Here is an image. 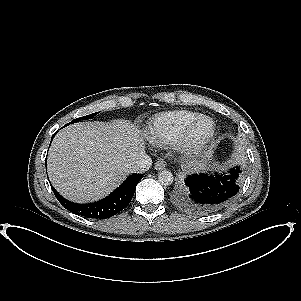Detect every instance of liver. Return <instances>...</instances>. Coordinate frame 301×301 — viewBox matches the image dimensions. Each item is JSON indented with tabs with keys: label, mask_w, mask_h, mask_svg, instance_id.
Here are the masks:
<instances>
[{
	"label": "liver",
	"mask_w": 301,
	"mask_h": 301,
	"mask_svg": "<svg viewBox=\"0 0 301 301\" xmlns=\"http://www.w3.org/2000/svg\"><path fill=\"white\" fill-rule=\"evenodd\" d=\"M144 152L140 131L125 121L80 122L55 136L48 153V175L66 199L93 202L117 188Z\"/></svg>",
	"instance_id": "1"
}]
</instances>
